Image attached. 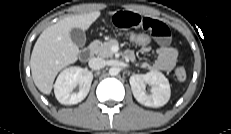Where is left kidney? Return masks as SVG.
<instances>
[{"mask_svg":"<svg viewBox=\"0 0 231 134\" xmlns=\"http://www.w3.org/2000/svg\"><path fill=\"white\" fill-rule=\"evenodd\" d=\"M135 99L148 107H160L170 99V85L168 79L159 71L146 74L132 75L129 79ZM150 85L151 93H147L145 85Z\"/></svg>","mask_w":231,"mask_h":134,"instance_id":"left-kidney-1","label":"left kidney"}]
</instances>
